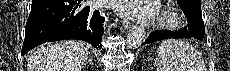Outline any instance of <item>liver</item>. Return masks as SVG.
Here are the masks:
<instances>
[{"label": "liver", "mask_w": 230, "mask_h": 71, "mask_svg": "<svg viewBox=\"0 0 230 71\" xmlns=\"http://www.w3.org/2000/svg\"><path fill=\"white\" fill-rule=\"evenodd\" d=\"M89 57L82 42L63 41L40 46L30 56L28 71H81Z\"/></svg>", "instance_id": "obj_1"}]
</instances>
